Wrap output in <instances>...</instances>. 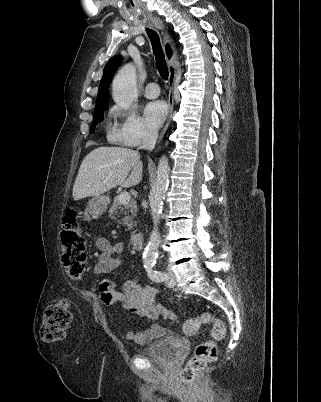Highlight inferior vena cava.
<instances>
[{
	"label": "inferior vena cava",
	"instance_id": "inferior-vena-cava-1",
	"mask_svg": "<svg viewBox=\"0 0 321 402\" xmlns=\"http://www.w3.org/2000/svg\"><path fill=\"white\" fill-rule=\"evenodd\" d=\"M158 138V132L156 130H147L144 137L140 149L152 151L155 147L156 141Z\"/></svg>",
	"mask_w": 321,
	"mask_h": 402
}]
</instances>
